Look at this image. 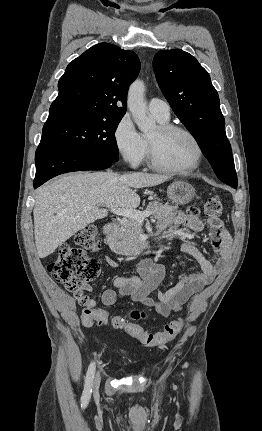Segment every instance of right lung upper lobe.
Wrapping results in <instances>:
<instances>
[{
	"label": "right lung upper lobe",
	"mask_w": 262,
	"mask_h": 431,
	"mask_svg": "<svg viewBox=\"0 0 262 431\" xmlns=\"http://www.w3.org/2000/svg\"><path fill=\"white\" fill-rule=\"evenodd\" d=\"M139 70V58L132 51L109 43L91 47L67 66L44 125L123 117L128 86Z\"/></svg>",
	"instance_id": "right-lung-upper-lobe-1"
}]
</instances>
